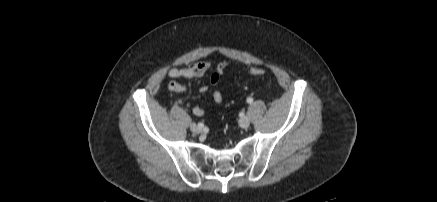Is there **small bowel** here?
I'll list each match as a JSON object with an SVG mask.
<instances>
[{
    "mask_svg": "<svg viewBox=\"0 0 437 202\" xmlns=\"http://www.w3.org/2000/svg\"><path fill=\"white\" fill-rule=\"evenodd\" d=\"M226 67H227V63L225 61H222L217 64V66L214 68V70L209 76V82L211 85H216L218 83L220 75L222 74V72L225 70ZM210 68H211V62L209 61L195 62L190 64L189 66L181 67V68L179 67L170 68L167 72V75L169 78L173 79V81H171L168 84V89L176 93L186 92L187 87L175 80L181 78L188 79V80L200 78L204 76L210 70ZM208 90L209 87L207 85L199 86V91L202 93H205ZM211 98L215 103L220 104L224 100V95L220 91L216 90L212 92ZM179 102L185 110L193 113L196 116H202L205 113L204 109L199 106H194L189 102H185L183 100H180Z\"/></svg>",
    "mask_w": 437,
    "mask_h": 202,
    "instance_id": "small-bowel-1",
    "label": "small bowel"
}]
</instances>
